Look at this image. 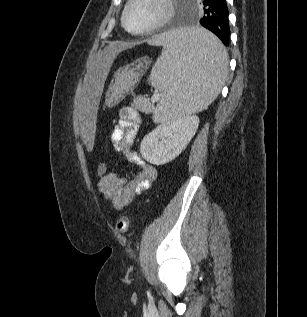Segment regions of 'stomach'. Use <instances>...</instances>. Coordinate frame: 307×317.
<instances>
[{
	"mask_svg": "<svg viewBox=\"0 0 307 317\" xmlns=\"http://www.w3.org/2000/svg\"><path fill=\"white\" fill-rule=\"evenodd\" d=\"M148 62L145 58L139 59L131 65L120 68L114 75V79L106 93V105L112 106L120 101L126 94L131 92L138 82L140 73L137 70L142 69Z\"/></svg>",
	"mask_w": 307,
	"mask_h": 317,
	"instance_id": "obj_1",
	"label": "stomach"
}]
</instances>
